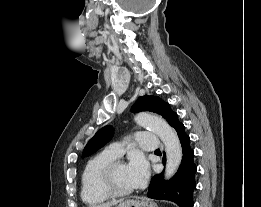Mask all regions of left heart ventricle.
<instances>
[{
    "label": "left heart ventricle",
    "instance_id": "left-heart-ventricle-1",
    "mask_svg": "<svg viewBox=\"0 0 261 207\" xmlns=\"http://www.w3.org/2000/svg\"><path fill=\"white\" fill-rule=\"evenodd\" d=\"M114 185L120 190H129L133 188L127 165H120L116 168L113 176Z\"/></svg>",
    "mask_w": 261,
    "mask_h": 207
}]
</instances>
